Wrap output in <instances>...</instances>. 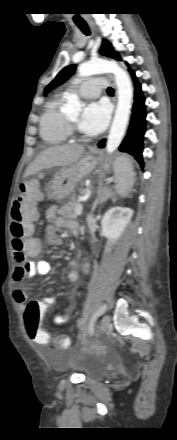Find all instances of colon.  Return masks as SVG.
<instances>
[{
  "label": "colon",
  "instance_id": "1",
  "mask_svg": "<svg viewBox=\"0 0 177 440\" xmlns=\"http://www.w3.org/2000/svg\"><path fill=\"white\" fill-rule=\"evenodd\" d=\"M41 199V193L36 181L31 180L20 185L19 193L11 209V233L14 237L13 250L16 258L26 260L27 256L34 255L38 245L32 238L35 232V222L38 219L36 203ZM54 298H31V303L23 312L25 329L29 335V342H37V348L53 346V350L70 346L69 334H50L49 330H41L40 324L44 315L54 303Z\"/></svg>",
  "mask_w": 177,
  "mask_h": 440
}]
</instances>
